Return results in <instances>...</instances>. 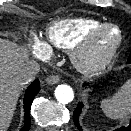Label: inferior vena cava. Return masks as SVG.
Returning <instances> with one entry per match:
<instances>
[{
	"label": "inferior vena cava",
	"instance_id": "inferior-vena-cava-1",
	"mask_svg": "<svg viewBox=\"0 0 131 131\" xmlns=\"http://www.w3.org/2000/svg\"><path fill=\"white\" fill-rule=\"evenodd\" d=\"M40 66L34 61H30L24 65V67L19 71L17 79L20 84H28L33 80L36 74L39 72Z\"/></svg>",
	"mask_w": 131,
	"mask_h": 131
}]
</instances>
